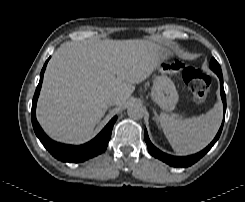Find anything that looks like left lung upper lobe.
<instances>
[{
	"mask_svg": "<svg viewBox=\"0 0 245 202\" xmlns=\"http://www.w3.org/2000/svg\"><path fill=\"white\" fill-rule=\"evenodd\" d=\"M209 66L216 74H222L221 67L214 58L211 59Z\"/></svg>",
	"mask_w": 245,
	"mask_h": 202,
	"instance_id": "1",
	"label": "left lung upper lobe"
}]
</instances>
